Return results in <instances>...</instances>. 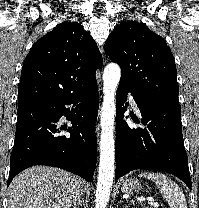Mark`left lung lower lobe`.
<instances>
[{
  "instance_id": "left-lung-lower-lobe-1",
  "label": "left lung lower lobe",
  "mask_w": 199,
  "mask_h": 208,
  "mask_svg": "<svg viewBox=\"0 0 199 208\" xmlns=\"http://www.w3.org/2000/svg\"><path fill=\"white\" fill-rule=\"evenodd\" d=\"M128 93L141 111L144 128H130L122 120ZM115 157L116 180L135 169L159 170L177 176L191 190L182 136L181 106L149 98L120 82L116 92Z\"/></svg>"
}]
</instances>
